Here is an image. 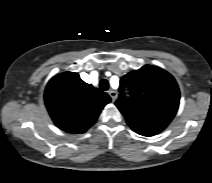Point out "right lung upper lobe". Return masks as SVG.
Segmentation results:
<instances>
[{
	"mask_svg": "<svg viewBox=\"0 0 212 183\" xmlns=\"http://www.w3.org/2000/svg\"><path fill=\"white\" fill-rule=\"evenodd\" d=\"M45 104L54 123L69 133H84L111 101L109 95L82 81L77 73L54 76L46 86Z\"/></svg>",
	"mask_w": 212,
	"mask_h": 183,
	"instance_id": "1",
	"label": "right lung upper lobe"
}]
</instances>
